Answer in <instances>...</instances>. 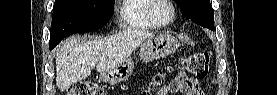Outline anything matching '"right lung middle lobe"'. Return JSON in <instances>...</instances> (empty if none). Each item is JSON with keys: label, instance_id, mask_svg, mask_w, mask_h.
Here are the masks:
<instances>
[{"label": "right lung middle lobe", "instance_id": "1", "mask_svg": "<svg viewBox=\"0 0 277 95\" xmlns=\"http://www.w3.org/2000/svg\"><path fill=\"white\" fill-rule=\"evenodd\" d=\"M113 4L114 0H55L49 45L104 26L113 15Z\"/></svg>", "mask_w": 277, "mask_h": 95}]
</instances>
